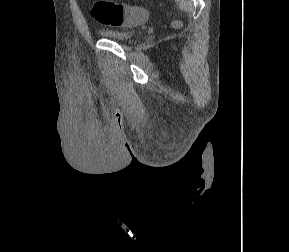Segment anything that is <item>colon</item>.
Wrapping results in <instances>:
<instances>
[{"mask_svg": "<svg viewBox=\"0 0 289 252\" xmlns=\"http://www.w3.org/2000/svg\"><path fill=\"white\" fill-rule=\"evenodd\" d=\"M91 14L97 22L114 27L134 26L149 19V12L145 8L109 0H95L91 6Z\"/></svg>", "mask_w": 289, "mask_h": 252, "instance_id": "colon-1", "label": "colon"}]
</instances>
